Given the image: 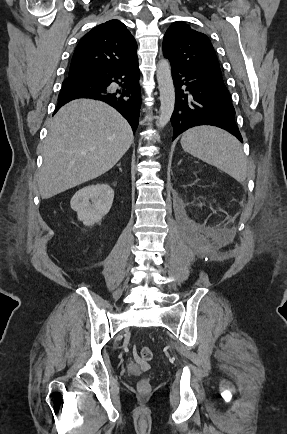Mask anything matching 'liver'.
Wrapping results in <instances>:
<instances>
[{"label":"liver","mask_w":287,"mask_h":434,"mask_svg":"<svg viewBox=\"0 0 287 434\" xmlns=\"http://www.w3.org/2000/svg\"><path fill=\"white\" fill-rule=\"evenodd\" d=\"M134 140L128 122L111 106L76 99L50 121L38 187L51 198L109 171Z\"/></svg>","instance_id":"6515ba94"}]
</instances>
